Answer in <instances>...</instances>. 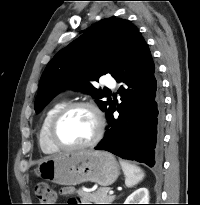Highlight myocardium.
Wrapping results in <instances>:
<instances>
[{
  "label": "myocardium",
  "instance_id": "obj_1",
  "mask_svg": "<svg viewBox=\"0 0 200 205\" xmlns=\"http://www.w3.org/2000/svg\"><path fill=\"white\" fill-rule=\"evenodd\" d=\"M84 108L89 110L95 119L96 122V132L91 140L86 143L79 145H64L57 138V127L63 117L69 113L73 109ZM105 132V121L102 112L100 109L93 103L88 101H74L66 103L53 117L50 127H49V138L52 144L58 149L62 151H76L82 150L86 148L93 147L97 145L101 139L103 138Z\"/></svg>",
  "mask_w": 200,
  "mask_h": 205
}]
</instances>
